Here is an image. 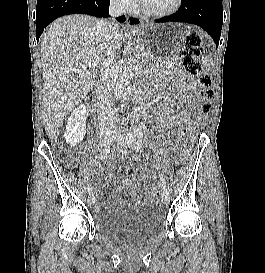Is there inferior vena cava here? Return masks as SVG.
Listing matches in <instances>:
<instances>
[{
    "instance_id": "602c4592",
    "label": "inferior vena cava",
    "mask_w": 265,
    "mask_h": 273,
    "mask_svg": "<svg viewBox=\"0 0 265 273\" xmlns=\"http://www.w3.org/2000/svg\"><path fill=\"white\" fill-rule=\"evenodd\" d=\"M127 9V0H111L109 14L113 17L112 21H100L102 40L106 50L105 59L100 71V85L97 93V113L102 135L115 132V122L112 109V93L118 76V67L116 63L117 52L114 50V38L119 28L115 17L125 13Z\"/></svg>"
}]
</instances>
